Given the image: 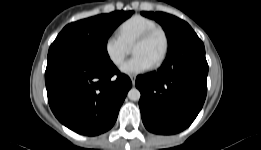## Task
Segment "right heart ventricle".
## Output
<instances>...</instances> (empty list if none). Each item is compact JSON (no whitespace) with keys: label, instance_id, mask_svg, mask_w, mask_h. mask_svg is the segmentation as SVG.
Instances as JSON below:
<instances>
[{"label":"right heart ventricle","instance_id":"obj_1","mask_svg":"<svg viewBox=\"0 0 261 150\" xmlns=\"http://www.w3.org/2000/svg\"><path fill=\"white\" fill-rule=\"evenodd\" d=\"M157 26H159V24L151 18L142 15H134L118 26L117 33L126 45L132 47L133 43L140 35Z\"/></svg>","mask_w":261,"mask_h":150}]
</instances>
